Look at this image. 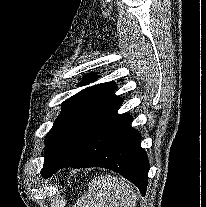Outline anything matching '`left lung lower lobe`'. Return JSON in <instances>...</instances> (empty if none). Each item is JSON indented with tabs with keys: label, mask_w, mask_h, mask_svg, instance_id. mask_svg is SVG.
<instances>
[{
	"label": "left lung lower lobe",
	"mask_w": 206,
	"mask_h": 207,
	"mask_svg": "<svg viewBox=\"0 0 206 207\" xmlns=\"http://www.w3.org/2000/svg\"><path fill=\"white\" fill-rule=\"evenodd\" d=\"M120 98L92 127L77 151L67 160L54 163L45 177L64 167H104L134 183L145 195L149 163L141 148V136L131 127L129 114H118Z\"/></svg>",
	"instance_id": "0a47b994"
}]
</instances>
